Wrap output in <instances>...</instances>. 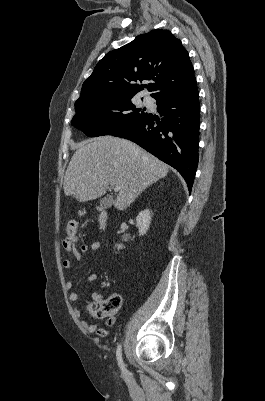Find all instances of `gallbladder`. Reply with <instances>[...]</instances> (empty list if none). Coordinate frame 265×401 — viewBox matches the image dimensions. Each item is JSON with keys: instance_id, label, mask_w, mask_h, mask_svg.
Wrapping results in <instances>:
<instances>
[{"instance_id": "1", "label": "gallbladder", "mask_w": 265, "mask_h": 401, "mask_svg": "<svg viewBox=\"0 0 265 401\" xmlns=\"http://www.w3.org/2000/svg\"><path fill=\"white\" fill-rule=\"evenodd\" d=\"M113 203V198H108V196H104L101 198L100 205H102L103 209H109Z\"/></svg>"}]
</instances>
